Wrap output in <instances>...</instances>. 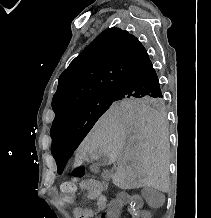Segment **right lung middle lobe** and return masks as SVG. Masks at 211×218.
<instances>
[{
	"label": "right lung middle lobe",
	"instance_id": "dd1d6c3e",
	"mask_svg": "<svg viewBox=\"0 0 211 218\" xmlns=\"http://www.w3.org/2000/svg\"><path fill=\"white\" fill-rule=\"evenodd\" d=\"M149 107L163 112L165 103L160 97H125L116 92L91 98L66 111L53 121L51 127L52 146L72 144L78 146L99 117L110 107ZM64 165L58 164V174Z\"/></svg>",
	"mask_w": 211,
	"mask_h": 218
}]
</instances>
